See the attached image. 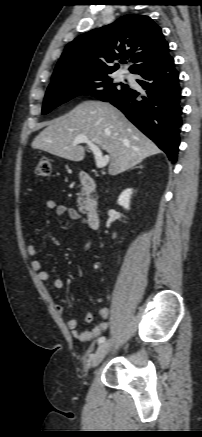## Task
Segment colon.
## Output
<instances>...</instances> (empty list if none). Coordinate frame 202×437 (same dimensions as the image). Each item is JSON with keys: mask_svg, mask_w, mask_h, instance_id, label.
Returning a JSON list of instances; mask_svg holds the SVG:
<instances>
[{"mask_svg": "<svg viewBox=\"0 0 202 437\" xmlns=\"http://www.w3.org/2000/svg\"><path fill=\"white\" fill-rule=\"evenodd\" d=\"M36 174L41 177H48L51 174V161L48 158H42L36 165Z\"/></svg>", "mask_w": 202, "mask_h": 437, "instance_id": "5ec220e1", "label": "colon"}]
</instances>
